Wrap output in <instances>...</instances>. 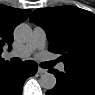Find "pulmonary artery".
<instances>
[{"label":"pulmonary artery","instance_id":"obj_1","mask_svg":"<svg viewBox=\"0 0 95 95\" xmlns=\"http://www.w3.org/2000/svg\"><path fill=\"white\" fill-rule=\"evenodd\" d=\"M46 40H47V34L44 28L36 26L33 29L30 41L27 44L23 45L21 48L10 51L7 55L9 57L26 59L31 55V53L35 49L44 47ZM64 67H65L64 63H60L58 65V69L61 71L64 70Z\"/></svg>","mask_w":95,"mask_h":95}]
</instances>
